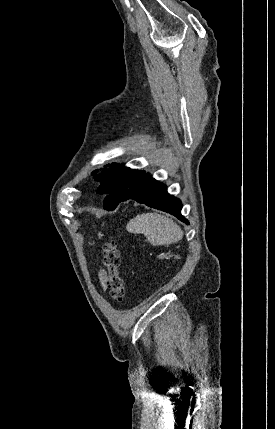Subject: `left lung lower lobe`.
Returning <instances> with one entry per match:
<instances>
[{"label":"left lung lower lobe","instance_id":"0a47b994","mask_svg":"<svg viewBox=\"0 0 275 429\" xmlns=\"http://www.w3.org/2000/svg\"><path fill=\"white\" fill-rule=\"evenodd\" d=\"M111 191L112 190H110L109 194H111ZM129 199L173 214L181 221L189 224L181 215L182 204L180 201L169 195L166 190V185L155 180L150 173H144L139 179L133 182L128 191L121 198V201Z\"/></svg>","mask_w":275,"mask_h":429}]
</instances>
